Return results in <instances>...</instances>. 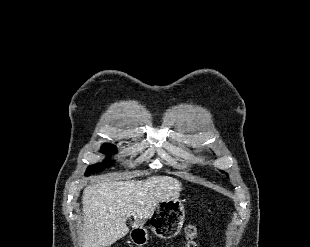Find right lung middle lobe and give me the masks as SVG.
Masks as SVG:
<instances>
[{"mask_svg":"<svg viewBox=\"0 0 310 247\" xmlns=\"http://www.w3.org/2000/svg\"><path fill=\"white\" fill-rule=\"evenodd\" d=\"M101 150L105 153H116V148L115 146L111 145V144H105L102 146ZM113 164L112 161H104L100 164H95V165H91L88 167L87 171H86V175H90L92 173H97L100 171H103L104 168H107L109 166H111Z\"/></svg>","mask_w":310,"mask_h":247,"instance_id":"1","label":"right lung middle lobe"}]
</instances>
